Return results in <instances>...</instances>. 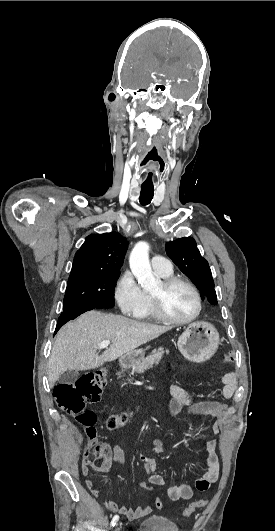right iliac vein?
I'll use <instances>...</instances> for the list:
<instances>
[{"label":"right iliac vein","mask_w":275,"mask_h":531,"mask_svg":"<svg viewBox=\"0 0 275 531\" xmlns=\"http://www.w3.org/2000/svg\"><path fill=\"white\" fill-rule=\"evenodd\" d=\"M115 531H120V528L117 526V527L115 528Z\"/></svg>","instance_id":"63e3f726"}]
</instances>
